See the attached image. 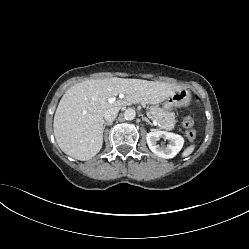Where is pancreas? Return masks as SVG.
Instances as JSON below:
<instances>
[{
	"instance_id": "cf45deb5",
	"label": "pancreas",
	"mask_w": 249,
	"mask_h": 249,
	"mask_svg": "<svg viewBox=\"0 0 249 249\" xmlns=\"http://www.w3.org/2000/svg\"><path fill=\"white\" fill-rule=\"evenodd\" d=\"M149 112L151 114V117L157 121L160 129L170 131L175 128L176 120L174 113L164 111L158 106L150 107Z\"/></svg>"
}]
</instances>
